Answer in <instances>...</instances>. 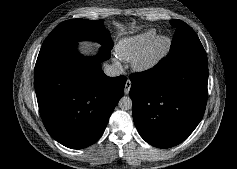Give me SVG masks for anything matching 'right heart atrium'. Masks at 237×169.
<instances>
[{
  "label": "right heart atrium",
  "instance_id": "obj_1",
  "mask_svg": "<svg viewBox=\"0 0 237 169\" xmlns=\"http://www.w3.org/2000/svg\"><path fill=\"white\" fill-rule=\"evenodd\" d=\"M114 62H115L116 64H119V61H118L117 59H114Z\"/></svg>",
  "mask_w": 237,
  "mask_h": 169
}]
</instances>
